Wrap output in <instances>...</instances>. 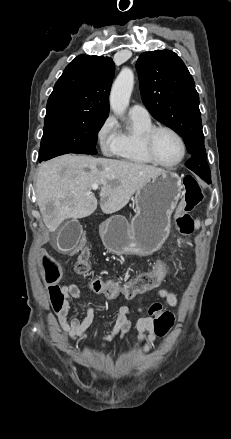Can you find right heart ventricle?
I'll use <instances>...</instances> for the list:
<instances>
[{"instance_id":"obj_1","label":"right heart ventricle","mask_w":231,"mask_h":439,"mask_svg":"<svg viewBox=\"0 0 231 439\" xmlns=\"http://www.w3.org/2000/svg\"><path fill=\"white\" fill-rule=\"evenodd\" d=\"M152 127L151 120L130 117V125L119 131V143L114 155L136 165H150L152 162L143 151L141 138Z\"/></svg>"}]
</instances>
